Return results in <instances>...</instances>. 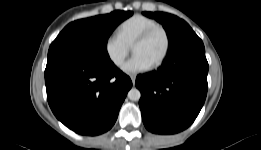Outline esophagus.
<instances>
[{
    "instance_id": "esophagus-1",
    "label": "esophagus",
    "mask_w": 261,
    "mask_h": 150,
    "mask_svg": "<svg viewBox=\"0 0 261 150\" xmlns=\"http://www.w3.org/2000/svg\"><path fill=\"white\" fill-rule=\"evenodd\" d=\"M131 81L133 83V85L135 84V80H136V75L132 74L130 75Z\"/></svg>"
}]
</instances>
